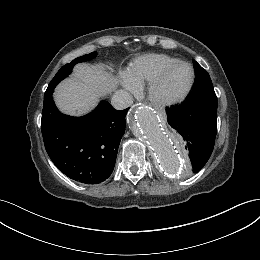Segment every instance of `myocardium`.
<instances>
[{
	"label": "myocardium",
	"instance_id": "obj_1",
	"mask_svg": "<svg viewBox=\"0 0 260 260\" xmlns=\"http://www.w3.org/2000/svg\"><path fill=\"white\" fill-rule=\"evenodd\" d=\"M181 65H185L188 66L191 70V81L189 83V85L186 87V89L179 95L175 96V97H163L159 94V89L161 87V85L163 84V82L165 81V79L167 78V76L177 67L181 66ZM195 79H196V74H195V70L194 67L186 61H178L175 62L169 66H167L166 68H164L163 70H161L151 81L148 87V97L149 99L158 105L161 106H169V105H175L177 103L182 102L191 92L194 84H195Z\"/></svg>",
	"mask_w": 260,
	"mask_h": 260
}]
</instances>
